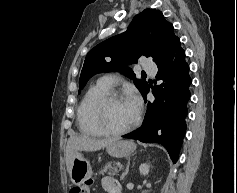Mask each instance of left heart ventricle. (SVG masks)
Here are the masks:
<instances>
[{
	"label": "left heart ventricle",
	"mask_w": 237,
	"mask_h": 193,
	"mask_svg": "<svg viewBox=\"0 0 237 193\" xmlns=\"http://www.w3.org/2000/svg\"><path fill=\"white\" fill-rule=\"evenodd\" d=\"M136 110L128 100H120L108 105L104 122L113 129L120 130L127 127L135 118Z\"/></svg>",
	"instance_id": "left-heart-ventricle-1"
}]
</instances>
